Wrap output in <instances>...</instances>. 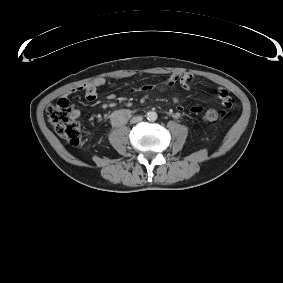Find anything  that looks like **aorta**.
Segmentation results:
<instances>
[{"label": "aorta", "mask_w": 283, "mask_h": 283, "mask_svg": "<svg viewBox=\"0 0 283 283\" xmlns=\"http://www.w3.org/2000/svg\"><path fill=\"white\" fill-rule=\"evenodd\" d=\"M146 117L149 121L151 122H154L157 120L158 118V115L155 111H149L147 114H146Z\"/></svg>", "instance_id": "obj_1"}]
</instances>
